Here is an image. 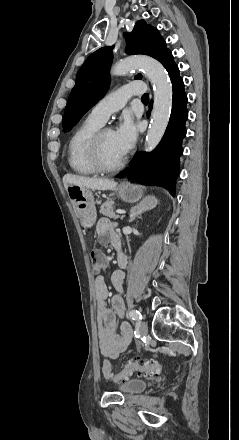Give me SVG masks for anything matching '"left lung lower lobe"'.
<instances>
[{
  "label": "left lung lower lobe",
  "instance_id": "0a47b994",
  "mask_svg": "<svg viewBox=\"0 0 239 440\" xmlns=\"http://www.w3.org/2000/svg\"><path fill=\"white\" fill-rule=\"evenodd\" d=\"M161 63L167 69L173 86L172 111L165 134L153 152L136 154L130 166L118 177L127 175L133 180L165 184L170 188L171 194L175 195V181L179 174V158L183 151L181 142L186 135L187 96L179 69L170 51ZM151 108L152 101L147 113L148 117Z\"/></svg>",
  "mask_w": 239,
  "mask_h": 440
}]
</instances>
